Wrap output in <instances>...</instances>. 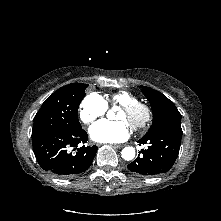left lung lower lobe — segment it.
<instances>
[{"instance_id":"left-lung-lower-lobe-1","label":"left lung lower lobe","mask_w":221,"mask_h":221,"mask_svg":"<svg viewBox=\"0 0 221 221\" xmlns=\"http://www.w3.org/2000/svg\"><path fill=\"white\" fill-rule=\"evenodd\" d=\"M182 129L161 128L144 135L138 143L148 144L127 167L130 171L143 176L165 173L173 166L180 149Z\"/></svg>"}]
</instances>
